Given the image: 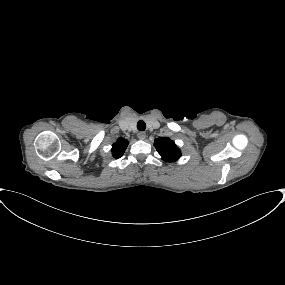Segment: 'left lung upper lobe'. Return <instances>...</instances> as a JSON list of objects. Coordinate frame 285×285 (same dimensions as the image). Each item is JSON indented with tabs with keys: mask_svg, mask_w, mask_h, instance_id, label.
Segmentation results:
<instances>
[{
	"mask_svg": "<svg viewBox=\"0 0 285 285\" xmlns=\"http://www.w3.org/2000/svg\"><path fill=\"white\" fill-rule=\"evenodd\" d=\"M154 146L164 161L173 162L181 156L180 149L168 137L155 139Z\"/></svg>",
	"mask_w": 285,
	"mask_h": 285,
	"instance_id": "5c2ea615",
	"label": "left lung upper lobe"
}]
</instances>
